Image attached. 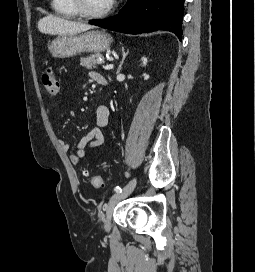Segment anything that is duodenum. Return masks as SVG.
I'll use <instances>...</instances> for the list:
<instances>
[{
    "label": "duodenum",
    "instance_id": "obj_1",
    "mask_svg": "<svg viewBox=\"0 0 255 272\" xmlns=\"http://www.w3.org/2000/svg\"><path fill=\"white\" fill-rule=\"evenodd\" d=\"M102 85L106 84V81L101 82Z\"/></svg>",
    "mask_w": 255,
    "mask_h": 272
}]
</instances>
